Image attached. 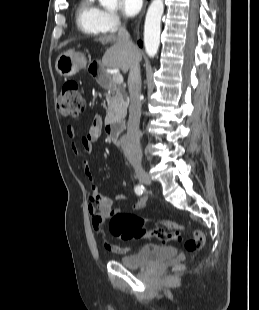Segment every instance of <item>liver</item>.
<instances>
[{"mask_svg": "<svg viewBox=\"0 0 259 310\" xmlns=\"http://www.w3.org/2000/svg\"><path fill=\"white\" fill-rule=\"evenodd\" d=\"M98 41L105 45H113L106 50L102 64L110 68H119L123 73H127L134 59L141 60V55L137 47L132 49L116 35H104L98 38Z\"/></svg>", "mask_w": 259, "mask_h": 310, "instance_id": "liver-1", "label": "liver"}]
</instances>
